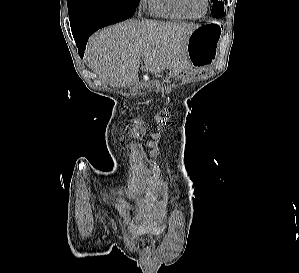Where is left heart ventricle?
<instances>
[{"label": "left heart ventricle", "instance_id": "left-heart-ventricle-1", "mask_svg": "<svg viewBox=\"0 0 299 273\" xmlns=\"http://www.w3.org/2000/svg\"><path fill=\"white\" fill-rule=\"evenodd\" d=\"M186 7L190 14L193 16H199L205 9L204 0H185Z\"/></svg>", "mask_w": 299, "mask_h": 273}]
</instances>
